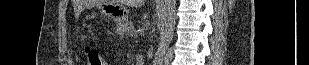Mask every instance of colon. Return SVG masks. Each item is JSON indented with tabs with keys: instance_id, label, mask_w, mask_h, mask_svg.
<instances>
[{
	"instance_id": "obj_1",
	"label": "colon",
	"mask_w": 309,
	"mask_h": 65,
	"mask_svg": "<svg viewBox=\"0 0 309 65\" xmlns=\"http://www.w3.org/2000/svg\"><path fill=\"white\" fill-rule=\"evenodd\" d=\"M84 58L87 65H103L104 60L94 47L86 46L84 48Z\"/></svg>"
}]
</instances>
